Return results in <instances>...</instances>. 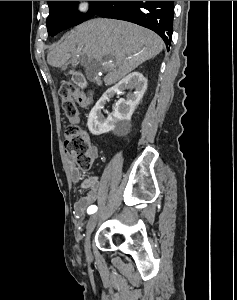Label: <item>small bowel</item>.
Listing matches in <instances>:
<instances>
[{
	"instance_id": "c3829d8e",
	"label": "small bowel",
	"mask_w": 237,
	"mask_h": 300,
	"mask_svg": "<svg viewBox=\"0 0 237 300\" xmlns=\"http://www.w3.org/2000/svg\"><path fill=\"white\" fill-rule=\"evenodd\" d=\"M76 98L84 106L89 104L81 94H77ZM70 122L72 124H77L79 122V117L77 116L70 119ZM89 154L92 159H96L98 157L97 148L92 146L89 150ZM67 164L71 180L77 183L81 190H86V193L77 199L74 204L75 214L78 217H83L88 208L94 204L105 188H116L117 181L116 179H110L109 175L106 173L84 179L81 171L75 165L73 160L68 159Z\"/></svg>"
}]
</instances>
